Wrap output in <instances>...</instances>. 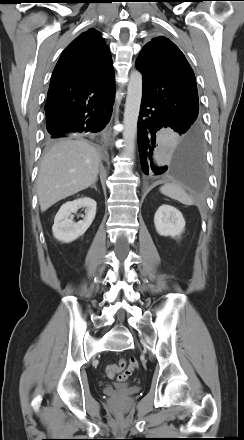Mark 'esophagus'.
Segmentation results:
<instances>
[{
	"mask_svg": "<svg viewBox=\"0 0 244 440\" xmlns=\"http://www.w3.org/2000/svg\"><path fill=\"white\" fill-rule=\"evenodd\" d=\"M106 137H107V141H110V139H111V129L106 131Z\"/></svg>",
	"mask_w": 244,
	"mask_h": 440,
	"instance_id": "34e87169",
	"label": "esophagus"
}]
</instances>
